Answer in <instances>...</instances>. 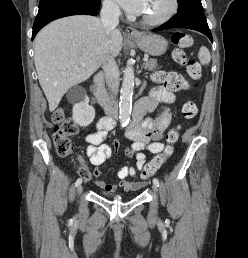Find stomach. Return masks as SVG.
Returning a JSON list of instances; mask_svg holds the SVG:
<instances>
[{"instance_id": "0dacf381", "label": "stomach", "mask_w": 248, "mask_h": 258, "mask_svg": "<svg viewBox=\"0 0 248 258\" xmlns=\"http://www.w3.org/2000/svg\"><path fill=\"white\" fill-rule=\"evenodd\" d=\"M137 46L152 56H160L167 50L168 41L157 34H139L137 37L131 38Z\"/></svg>"}]
</instances>
